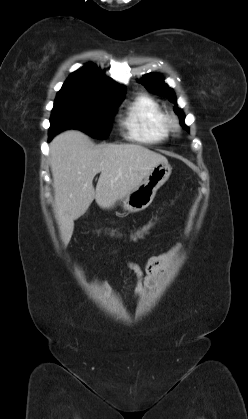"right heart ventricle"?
<instances>
[{
  "label": "right heart ventricle",
  "instance_id": "e07e8e85",
  "mask_svg": "<svg viewBox=\"0 0 248 419\" xmlns=\"http://www.w3.org/2000/svg\"><path fill=\"white\" fill-rule=\"evenodd\" d=\"M123 126L130 139L144 143H161L168 138L165 112L147 94H139L127 107Z\"/></svg>",
  "mask_w": 248,
  "mask_h": 419
}]
</instances>
